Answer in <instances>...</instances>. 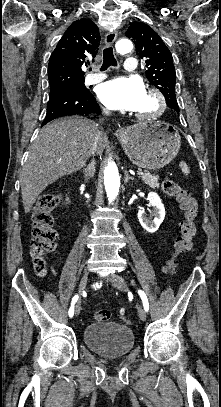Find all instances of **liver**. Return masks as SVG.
I'll return each mask as SVG.
<instances>
[{
    "instance_id": "obj_1",
    "label": "liver",
    "mask_w": 221,
    "mask_h": 407,
    "mask_svg": "<svg viewBox=\"0 0 221 407\" xmlns=\"http://www.w3.org/2000/svg\"><path fill=\"white\" fill-rule=\"evenodd\" d=\"M97 125L86 118L69 117L45 125L30 147L20 176L25 213L38 196L59 178L80 170L92 154ZM108 145L106 133L99 141L101 155Z\"/></svg>"
}]
</instances>
